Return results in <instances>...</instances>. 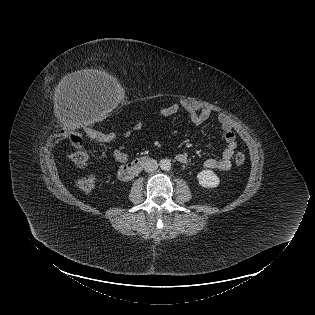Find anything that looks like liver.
<instances>
[{
  "instance_id": "obj_1",
  "label": "liver",
  "mask_w": 315,
  "mask_h": 315,
  "mask_svg": "<svg viewBox=\"0 0 315 315\" xmlns=\"http://www.w3.org/2000/svg\"><path fill=\"white\" fill-rule=\"evenodd\" d=\"M87 83L117 84L116 79L104 71L83 69L65 76L60 83V87L65 89L70 85H84Z\"/></svg>"
}]
</instances>
